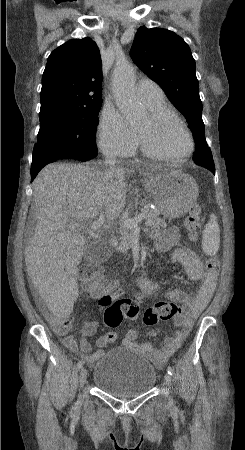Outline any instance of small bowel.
<instances>
[{
  "label": "small bowel",
  "instance_id": "small-bowel-1",
  "mask_svg": "<svg viewBox=\"0 0 245 450\" xmlns=\"http://www.w3.org/2000/svg\"><path fill=\"white\" fill-rule=\"evenodd\" d=\"M155 248L158 253H163L174 248L171 262L181 264L189 277L200 281V287L195 294H192L188 287L179 286L166 293V298L170 301L182 304L181 319L173 320L175 330L172 335L165 338L159 348L152 347L150 342H140V332L136 329L129 331L122 340V345L128 348H139L148 355L158 366H162L165 361L182 345L192 329L195 320L202 314L211 299L216 283L217 275L210 274L204 270L203 259L188 246L182 244L178 230L168 228L152 235ZM101 284L95 287H85L83 291L93 300L103 302L105 299H118L125 294V289L118 286L116 281H105L104 275L100 276ZM160 288L159 282H154L146 278H141L138 282L139 293L134 300L140 307L145 306L146 298L155 294ZM99 327L98 321L84 322L80 330V338L73 334L62 338V343L71 351L79 352L88 363H93L103 353L110 341L102 335L96 339L98 350L91 353V345L87 337L94 335ZM155 331L151 332L154 335Z\"/></svg>",
  "mask_w": 245,
  "mask_h": 450
}]
</instances>
